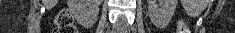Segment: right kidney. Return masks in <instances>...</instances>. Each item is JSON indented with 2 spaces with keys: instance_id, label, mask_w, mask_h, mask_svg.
Instances as JSON below:
<instances>
[{
  "instance_id": "ca27d5eb",
  "label": "right kidney",
  "mask_w": 235,
  "mask_h": 33,
  "mask_svg": "<svg viewBox=\"0 0 235 33\" xmlns=\"http://www.w3.org/2000/svg\"><path fill=\"white\" fill-rule=\"evenodd\" d=\"M101 2L102 0H68V7L75 18L95 21Z\"/></svg>"
}]
</instances>
